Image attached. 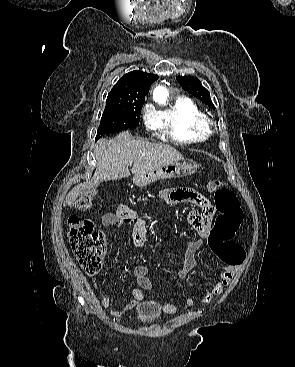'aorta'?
Listing matches in <instances>:
<instances>
[{
	"mask_svg": "<svg viewBox=\"0 0 295 367\" xmlns=\"http://www.w3.org/2000/svg\"><path fill=\"white\" fill-rule=\"evenodd\" d=\"M167 92L163 87H157L154 91V99L160 103H164L167 100Z\"/></svg>",
	"mask_w": 295,
	"mask_h": 367,
	"instance_id": "762f6f07",
	"label": "aorta"
}]
</instances>
